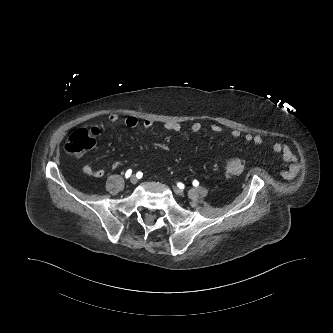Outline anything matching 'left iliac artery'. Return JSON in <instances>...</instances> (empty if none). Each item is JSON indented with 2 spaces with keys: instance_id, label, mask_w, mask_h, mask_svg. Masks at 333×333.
<instances>
[{
  "instance_id": "1",
  "label": "left iliac artery",
  "mask_w": 333,
  "mask_h": 333,
  "mask_svg": "<svg viewBox=\"0 0 333 333\" xmlns=\"http://www.w3.org/2000/svg\"><path fill=\"white\" fill-rule=\"evenodd\" d=\"M192 184H193L195 187H197V186L199 185V182H198L197 180H194V181L192 182ZM178 187H179V188H183V184H182V183H178Z\"/></svg>"
}]
</instances>
